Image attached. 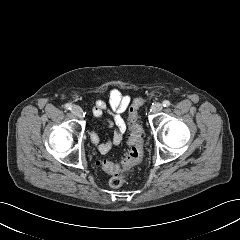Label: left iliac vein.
Wrapping results in <instances>:
<instances>
[{
    "mask_svg": "<svg viewBox=\"0 0 240 240\" xmlns=\"http://www.w3.org/2000/svg\"><path fill=\"white\" fill-rule=\"evenodd\" d=\"M162 108H163V105H162L161 103H155V104L152 106L151 111H152L153 113H158V112H160V111L162 110Z\"/></svg>",
    "mask_w": 240,
    "mask_h": 240,
    "instance_id": "left-iliac-vein-1",
    "label": "left iliac vein"
}]
</instances>
